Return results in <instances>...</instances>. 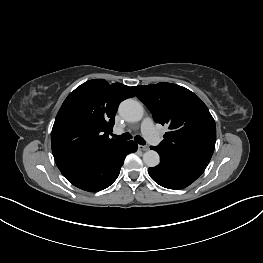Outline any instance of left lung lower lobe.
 <instances>
[{
	"label": "left lung lower lobe",
	"mask_w": 263,
	"mask_h": 263,
	"mask_svg": "<svg viewBox=\"0 0 263 263\" xmlns=\"http://www.w3.org/2000/svg\"><path fill=\"white\" fill-rule=\"evenodd\" d=\"M150 148L159 153L160 164L149 168L148 173L162 187L168 189L185 188L199 178L206 169V166L173 158L153 146Z\"/></svg>",
	"instance_id": "1"
}]
</instances>
